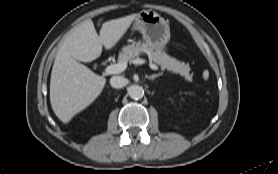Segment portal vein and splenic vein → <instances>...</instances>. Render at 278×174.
Instances as JSON below:
<instances>
[{
    "label": "portal vein and splenic vein",
    "instance_id": "1",
    "mask_svg": "<svg viewBox=\"0 0 278 174\" xmlns=\"http://www.w3.org/2000/svg\"><path fill=\"white\" fill-rule=\"evenodd\" d=\"M134 63L138 64L140 62L137 61V60H134ZM149 66L153 70H159L158 66L153 64L152 62L149 63ZM126 68H127V63L120 62V63H117V64H111V65H109L105 68V73L108 74V75L118 74V73L123 72Z\"/></svg>",
    "mask_w": 278,
    "mask_h": 174
}]
</instances>
